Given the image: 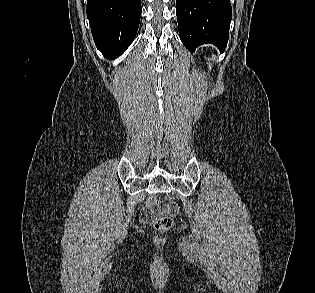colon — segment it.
<instances>
[{
	"instance_id": "obj_1",
	"label": "colon",
	"mask_w": 315,
	"mask_h": 293,
	"mask_svg": "<svg viewBox=\"0 0 315 293\" xmlns=\"http://www.w3.org/2000/svg\"><path fill=\"white\" fill-rule=\"evenodd\" d=\"M149 206L158 205V207L167 213L173 214L177 212V208L174 204H164L161 203L157 198H152L148 202ZM174 225V222L171 217L169 216H161L154 221V226L157 230L160 231H167L171 229Z\"/></svg>"
}]
</instances>
